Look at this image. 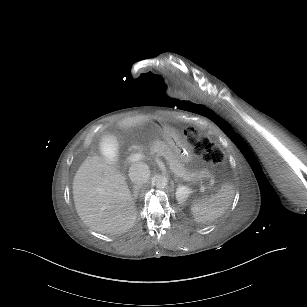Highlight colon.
I'll use <instances>...</instances> for the list:
<instances>
[{
	"instance_id": "5ec220e1",
	"label": "colon",
	"mask_w": 307,
	"mask_h": 307,
	"mask_svg": "<svg viewBox=\"0 0 307 307\" xmlns=\"http://www.w3.org/2000/svg\"><path fill=\"white\" fill-rule=\"evenodd\" d=\"M185 139L203 153L204 162L211 167H219L224 164L222 152L214 147L208 140H198V133L193 129L185 132Z\"/></svg>"
}]
</instances>
